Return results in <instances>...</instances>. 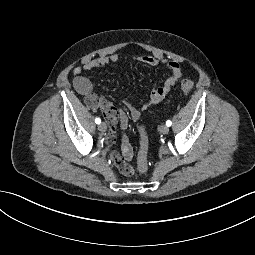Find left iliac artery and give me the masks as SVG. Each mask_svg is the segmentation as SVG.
<instances>
[{
	"label": "left iliac artery",
	"instance_id": "1",
	"mask_svg": "<svg viewBox=\"0 0 255 255\" xmlns=\"http://www.w3.org/2000/svg\"><path fill=\"white\" fill-rule=\"evenodd\" d=\"M171 124H172V122H171L170 120H168V121L166 122V125H167V126H171Z\"/></svg>",
	"mask_w": 255,
	"mask_h": 255
}]
</instances>
